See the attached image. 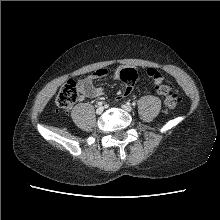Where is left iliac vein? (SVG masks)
<instances>
[{
    "label": "left iliac vein",
    "instance_id": "1",
    "mask_svg": "<svg viewBox=\"0 0 220 220\" xmlns=\"http://www.w3.org/2000/svg\"><path fill=\"white\" fill-rule=\"evenodd\" d=\"M122 108L127 111V112H131L132 111V106L129 104H123Z\"/></svg>",
    "mask_w": 220,
    "mask_h": 220
}]
</instances>
